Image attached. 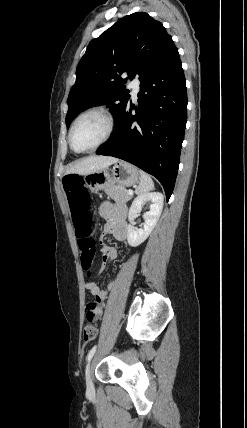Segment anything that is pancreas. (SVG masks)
Returning a JSON list of instances; mask_svg holds the SVG:
<instances>
[{
    "label": "pancreas",
    "mask_w": 247,
    "mask_h": 428,
    "mask_svg": "<svg viewBox=\"0 0 247 428\" xmlns=\"http://www.w3.org/2000/svg\"><path fill=\"white\" fill-rule=\"evenodd\" d=\"M105 193L117 203H126L132 198V196L128 194L126 188L121 185L110 186L105 189Z\"/></svg>",
    "instance_id": "pancreas-1"
}]
</instances>
